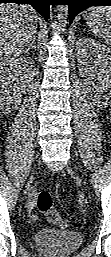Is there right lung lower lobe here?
I'll list each match as a JSON object with an SVG mask.
<instances>
[{"label": "right lung lower lobe", "instance_id": "98d812e1", "mask_svg": "<svg viewBox=\"0 0 111 257\" xmlns=\"http://www.w3.org/2000/svg\"><path fill=\"white\" fill-rule=\"evenodd\" d=\"M0 3L30 4L47 20L49 18V8L52 0H0Z\"/></svg>", "mask_w": 111, "mask_h": 257}]
</instances>
